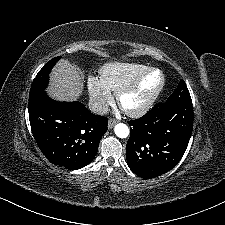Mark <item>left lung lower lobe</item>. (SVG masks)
Wrapping results in <instances>:
<instances>
[{"label": "left lung lower lobe", "mask_w": 225, "mask_h": 225, "mask_svg": "<svg viewBox=\"0 0 225 225\" xmlns=\"http://www.w3.org/2000/svg\"><path fill=\"white\" fill-rule=\"evenodd\" d=\"M128 124L127 164L139 177L155 178L174 168L185 153L193 129L192 103H158Z\"/></svg>", "instance_id": "1"}]
</instances>
